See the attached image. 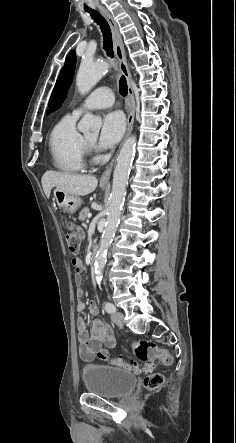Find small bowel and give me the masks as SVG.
<instances>
[{
	"mask_svg": "<svg viewBox=\"0 0 236 443\" xmlns=\"http://www.w3.org/2000/svg\"><path fill=\"white\" fill-rule=\"evenodd\" d=\"M74 261H76V264L77 266H79L82 273V262L79 259H75L72 261V263ZM75 283L77 298L76 305L78 311L83 312L87 309L90 314L96 315L98 313L97 305L94 302H90L88 305H86L83 300L81 275L78 279H75ZM76 328L77 339L80 344L79 354L81 358L85 360L92 359L95 350L98 349L100 346H104L105 348H113L115 345V339L110 328L98 320L92 323L91 329L89 330L85 320L82 317H79L76 321Z\"/></svg>",
	"mask_w": 236,
	"mask_h": 443,
	"instance_id": "c3829d8e",
	"label": "small bowel"
}]
</instances>
